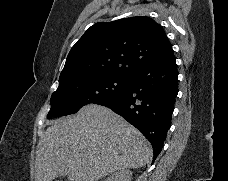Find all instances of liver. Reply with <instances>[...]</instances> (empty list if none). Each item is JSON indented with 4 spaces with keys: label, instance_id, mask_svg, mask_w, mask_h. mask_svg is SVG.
<instances>
[{
    "label": "liver",
    "instance_id": "1",
    "mask_svg": "<svg viewBox=\"0 0 228 181\" xmlns=\"http://www.w3.org/2000/svg\"><path fill=\"white\" fill-rule=\"evenodd\" d=\"M39 141L35 181H99L121 169H140L152 147L123 117L100 105H86L76 115L50 123Z\"/></svg>",
    "mask_w": 228,
    "mask_h": 181
}]
</instances>
